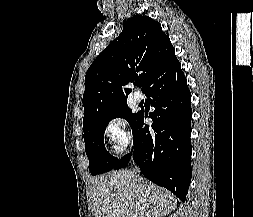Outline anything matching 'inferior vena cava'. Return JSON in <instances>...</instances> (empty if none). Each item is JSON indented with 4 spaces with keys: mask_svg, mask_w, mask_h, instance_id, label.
<instances>
[{
    "mask_svg": "<svg viewBox=\"0 0 253 217\" xmlns=\"http://www.w3.org/2000/svg\"><path fill=\"white\" fill-rule=\"evenodd\" d=\"M132 172H133V173H135V174H137V173H139V172H140V170H139V168H138V167H136V166H135Z\"/></svg>",
    "mask_w": 253,
    "mask_h": 217,
    "instance_id": "inferior-vena-cava-1",
    "label": "inferior vena cava"
}]
</instances>
